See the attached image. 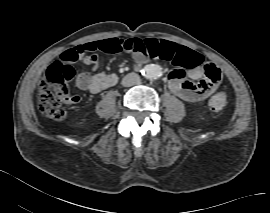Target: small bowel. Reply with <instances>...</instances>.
I'll return each instance as SVG.
<instances>
[{"label":"small bowel","mask_w":270,"mask_h":213,"mask_svg":"<svg viewBox=\"0 0 270 213\" xmlns=\"http://www.w3.org/2000/svg\"><path fill=\"white\" fill-rule=\"evenodd\" d=\"M110 41V39L86 41L77 45L82 49V56L91 53L81 58V63L86 64L89 71L81 72L77 76L76 86L80 90L96 94L117 83L118 78L115 74L90 73L97 69L101 53L108 52ZM147 43L154 45L148 57L159 60L170 59L173 62L174 67L167 74V83L174 94L186 102L195 103L206 99L214 91L217 83L211 77H207L203 67L196 63V59L200 58L197 53L164 39L147 40ZM145 62V56L138 54L134 58V68L138 70Z\"/></svg>","instance_id":"small-bowel-1"}]
</instances>
